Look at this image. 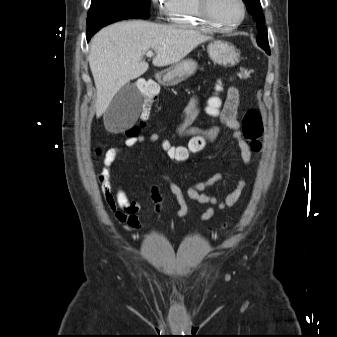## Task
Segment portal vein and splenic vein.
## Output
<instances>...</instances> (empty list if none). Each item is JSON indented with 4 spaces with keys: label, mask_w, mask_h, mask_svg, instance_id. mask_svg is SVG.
I'll list each match as a JSON object with an SVG mask.
<instances>
[{
    "label": "portal vein and splenic vein",
    "mask_w": 337,
    "mask_h": 337,
    "mask_svg": "<svg viewBox=\"0 0 337 337\" xmlns=\"http://www.w3.org/2000/svg\"><path fill=\"white\" fill-rule=\"evenodd\" d=\"M146 56H147V57H152V56H153V52H152V51H148V52L146 53Z\"/></svg>",
    "instance_id": "obj_1"
}]
</instances>
